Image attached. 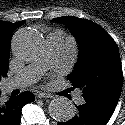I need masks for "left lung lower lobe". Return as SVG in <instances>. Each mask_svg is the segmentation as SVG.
Instances as JSON below:
<instances>
[{
	"mask_svg": "<svg viewBox=\"0 0 125 125\" xmlns=\"http://www.w3.org/2000/svg\"><path fill=\"white\" fill-rule=\"evenodd\" d=\"M74 105L77 108L75 116L66 122H58V125H106L117 104L84 102Z\"/></svg>",
	"mask_w": 125,
	"mask_h": 125,
	"instance_id": "1",
	"label": "left lung lower lobe"
}]
</instances>
